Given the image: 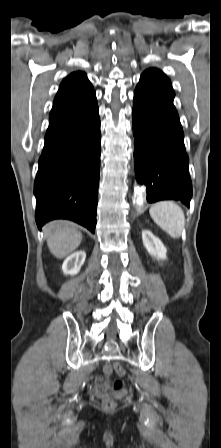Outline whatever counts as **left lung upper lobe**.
Returning a JSON list of instances; mask_svg holds the SVG:
<instances>
[{
	"label": "left lung upper lobe",
	"mask_w": 221,
	"mask_h": 448,
	"mask_svg": "<svg viewBox=\"0 0 221 448\" xmlns=\"http://www.w3.org/2000/svg\"><path fill=\"white\" fill-rule=\"evenodd\" d=\"M137 86L165 99L173 100L175 97L169 78L156 68L145 70Z\"/></svg>",
	"instance_id": "obj_1"
}]
</instances>
